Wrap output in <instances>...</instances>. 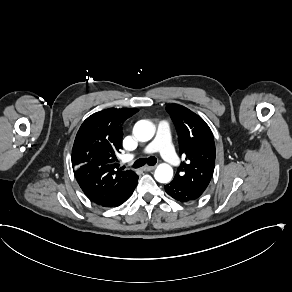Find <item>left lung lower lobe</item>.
<instances>
[{"mask_svg":"<svg viewBox=\"0 0 292 292\" xmlns=\"http://www.w3.org/2000/svg\"><path fill=\"white\" fill-rule=\"evenodd\" d=\"M165 191L177 201L181 203L197 200L202 193L196 190L188 189L181 185L174 183L173 181L165 185Z\"/></svg>","mask_w":292,"mask_h":292,"instance_id":"0a47b994","label":"left lung lower lobe"}]
</instances>
